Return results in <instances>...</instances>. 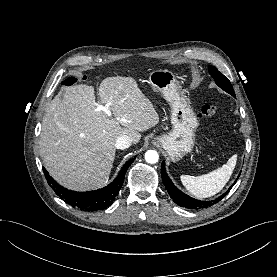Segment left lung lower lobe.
<instances>
[{
	"label": "left lung lower lobe",
	"instance_id": "0a47b994",
	"mask_svg": "<svg viewBox=\"0 0 277 277\" xmlns=\"http://www.w3.org/2000/svg\"><path fill=\"white\" fill-rule=\"evenodd\" d=\"M161 176H162V180L163 183L165 184V187L170 195V197L173 199V201L178 204L181 207H185L188 209H204L207 208L209 206H212L216 203H218L224 196L227 195L228 191L223 194L222 196L218 197L215 200L212 201H199L196 199H193L191 197H189L188 195L184 194L183 192H181L170 180V178L168 177L166 171H165V162H162L161 165ZM235 183V182H234ZM231 189V187H230Z\"/></svg>",
	"mask_w": 277,
	"mask_h": 277
}]
</instances>
